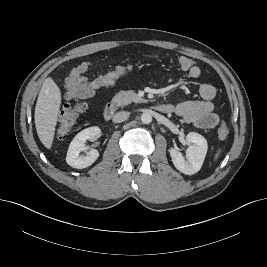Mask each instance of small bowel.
Listing matches in <instances>:
<instances>
[{"mask_svg": "<svg viewBox=\"0 0 267 267\" xmlns=\"http://www.w3.org/2000/svg\"><path fill=\"white\" fill-rule=\"evenodd\" d=\"M91 64L83 61L70 70L64 83L62 94L64 101L72 99L92 98L97 90L102 86L100 83L101 75L88 78L86 73L90 70ZM190 78H198L201 69L198 66L192 67L188 71ZM201 100H187L176 105H171L173 111L187 123H191L198 128L211 129L217 126L219 117L214 111L213 99L216 95L215 88L210 84H202L199 87Z\"/></svg>", "mask_w": 267, "mask_h": 267, "instance_id": "c3829d8e", "label": "small bowel"}]
</instances>
